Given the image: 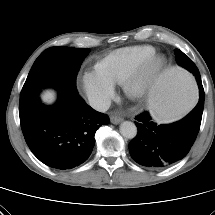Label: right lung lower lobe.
Returning a JSON list of instances; mask_svg holds the SVG:
<instances>
[{
	"instance_id": "98d812e1",
	"label": "right lung lower lobe",
	"mask_w": 215,
	"mask_h": 215,
	"mask_svg": "<svg viewBox=\"0 0 215 215\" xmlns=\"http://www.w3.org/2000/svg\"><path fill=\"white\" fill-rule=\"evenodd\" d=\"M108 123L109 117L88 106L74 84L59 91L54 105L39 103L21 128L27 145L41 162L66 170L89 158L96 130Z\"/></svg>"
}]
</instances>
